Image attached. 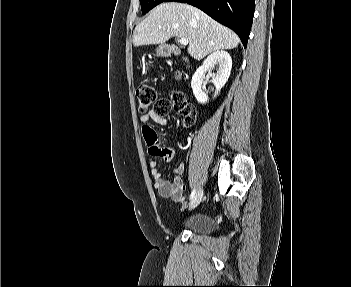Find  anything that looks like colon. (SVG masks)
Returning a JSON list of instances; mask_svg holds the SVG:
<instances>
[{
    "mask_svg": "<svg viewBox=\"0 0 351 287\" xmlns=\"http://www.w3.org/2000/svg\"><path fill=\"white\" fill-rule=\"evenodd\" d=\"M181 73L176 72V77ZM138 102V109L141 112L147 111L152 105L159 116L166 115L172 108H175L182 115L184 126H190L195 120V110L188 103L185 95L179 91H171L168 99L157 100V90L149 84H140L135 91ZM143 131V130H142Z\"/></svg>",
    "mask_w": 351,
    "mask_h": 287,
    "instance_id": "1",
    "label": "colon"
}]
</instances>
